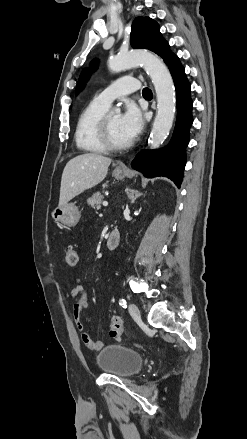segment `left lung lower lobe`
<instances>
[{
    "mask_svg": "<svg viewBox=\"0 0 247 439\" xmlns=\"http://www.w3.org/2000/svg\"><path fill=\"white\" fill-rule=\"evenodd\" d=\"M169 70L177 95V120L172 139L163 149L141 151L134 158L131 166L149 178L168 177L180 188L186 164L185 148L189 142V129L193 122V101L190 97L191 86L179 59Z\"/></svg>",
    "mask_w": 247,
    "mask_h": 439,
    "instance_id": "obj_1",
    "label": "left lung lower lobe"
}]
</instances>
